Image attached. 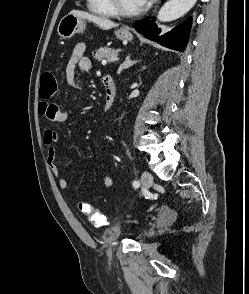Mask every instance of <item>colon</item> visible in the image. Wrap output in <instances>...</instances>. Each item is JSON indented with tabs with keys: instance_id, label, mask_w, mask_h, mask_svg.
I'll return each mask as SVG.
<instances>
[{
	"instance_id": "5ec220e1",
	"label": "colon",
	"mask_w": 249,
	"mask_h": 294,
	"mask_svg": "<svg viewBox=\"0 0 249 294\" xmlns=\"http://www.w3.org/2000/svg\"><path fill=\"white\" fill-rule=\"evenodd\" d=\"M58 92V80L54 72L46 71L40 78V90L39 96L43 100H49L53 98ZM79 210L83 213L88 221L94 227H102L105 224V217L102 213L95 210L90 204L81 202L79 204Z\"/></svg>"
}]
</instances>
